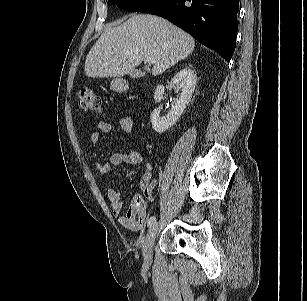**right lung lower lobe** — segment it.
<instances>
[{
    "label": "right lung lower lobe",
    "instance_id": "right-lung-lower-lobe-1",
    "mask_svg": "<svg viewBox=\"0 0 307 301\" xmlns=\"http://www.w3.org/2000/svg\"><path fill=\"white\" fill-rule=\"evenodd\" d=\"M238 10L239 0H157L140 11L168 19L229 62Z\"/></svg>",
    "mask_w": 307,
    "mask_h": 301
}]
</instances>
